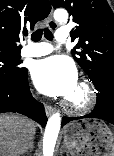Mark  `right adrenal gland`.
I'll return each mask as SVG.
<instances>
[{
	"mask_svg": "<svg viewBox=\"0 0 114 156\" xmlns=\"http://www.w3.org/2000/svg\"><path fill=\"white\" fill-rule=\"evenodd\" d=\"M33 148H34V144H33V141H32L31 144L28 147H26V149H24L22 154L24 155V154L28 153V151H31Z\"/></svg>",
	"mask_w": 114,
	"mask_h": 156,
	"instance_id": "right-adrenal-gland-1",
	"label": "right adrenal gland"
}]
</instances>
